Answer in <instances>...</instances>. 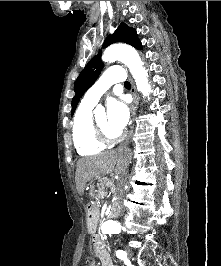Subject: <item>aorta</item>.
I'll return each mask as SVG.
<instances>
[{"mask_svg": "<svg viewBox=\"0 0 221 266\" xmlns=\"http://www.w3.org/2000/svg\"><path fill=\"white\" fill-rule=\"evenodd\" d=\"M102 59L104 62L119 60L124 63L129 68L138 91H140L144 97H149L152 90L148 83V74L136 50L123 44H113L105 49ZM101 230L108 234H118L121 231V225L116 220H107L101 225Z\"/></svg>", "mask_w": 221, "mask_h": 266, "instance_id": "762f6f07", "label": "aorta"}]
</instances>
